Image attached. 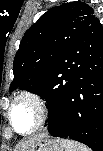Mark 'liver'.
Returning a JSON list of instances; mask_svg holds the SVG:
<instances>
[{
  "mask_svg": "<svg viewBox=\"0 0 103 151\" xmlns=\"http://www.w3.org/2000/svg\"><path fill=\"white\" fill-rule=\"evenodd\" d=\"M30 141H28V142L24 143L23 145H21V147L18 148V150H16V151H24L27 148Z\"/></svg>",
  "mask_w": 103,
  "mask_h": 151,
  "instance_id": "1",
  "label": "liver"
}]
</instances>
